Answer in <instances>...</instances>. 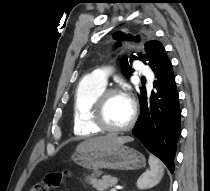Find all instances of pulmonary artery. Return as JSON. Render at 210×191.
<instances>
[{
    "label": "pulmonary artery",
    "mask_w": 210,
    "mask_h": 191,
    "mask_svg": "<svg viewBox=\"0 0 210 191\" xmlns=\"http://www.w3.org/2000/svg\"><path fill=\"white\" fill-rule=\"evenodd\" d=\"M134 66L137 72L142 76L149 77L152 75L150 69L144 66L140 61L137 60L134 61ZM108 76H109V69L107 67L97 68L88 74V78L96 82L102 83L104 85L107 84Z\"/></svg>",
    "instance_id": "pulmonary-artery-1"
}]
</instances>
